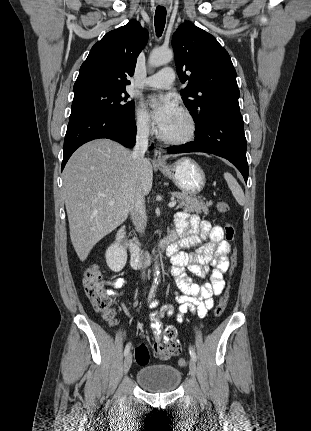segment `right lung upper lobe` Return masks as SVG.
<instances>
[{
	"mask_svg": "<svg viewBox=\"0 0 311 431\" xmlns=\"http://www.w3.org/2000/svg\"><path fill=\"white\" fill-rule=\"evenodd\" d=\"M148 40V32L137 21L108 32L93 45L81 65L73 91L87 89L125 90L134 74L137 57Z\"/></svg>",
	"mask_w": 311,
	"mask_h": 431,
	"instance_id": "right-lung-upper-lobe-1",
	"label": "right lung upper lobe"
}]
</instances>
